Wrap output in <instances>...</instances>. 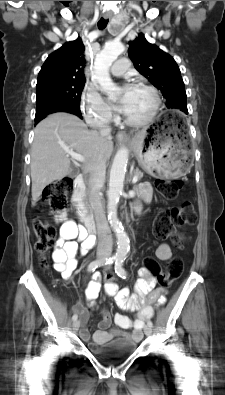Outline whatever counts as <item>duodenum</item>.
Here are the masks:
<instances>
[{"label":"duodenum","mask_w":225,"mask_h":395,"mask_svg":"<svg viewBox=\"0 0 225 395\" xmlns=\"http://www.w3.org/2000/svg\"><path fill=\"white\" fill-rule=\"evenodd\" d=\"M72 200L78 210L81 221L84 223L88 232L93 234L95 232V223L85 202V181L83 176H78L75 179V189Z\"/></svg>","instance_id":"duodenum-1"}]
</instances>
